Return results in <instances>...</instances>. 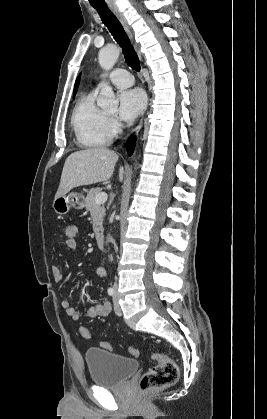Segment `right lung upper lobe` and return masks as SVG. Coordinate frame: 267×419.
Wrapping results in <instances>:
<instances>
[{"label":"right lung upper lobe","instance_id":"1","mask_svg":"<svg viewBox=\"0 0 267 419\" xmlns=\"http://www.w3.org/2000/svg\"><path fill=\"white\" fill-rule=\"evenodd\" d=\"M79 80H80V75L78 76V78H77V80L75 82V86H74L75 88H74V92H73L74 95L76 94L77 87H78V84H79Z\"/></svg>","mask_w":267,"mask_h":419}]
</instances>
